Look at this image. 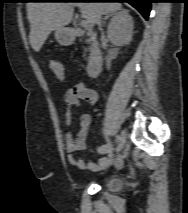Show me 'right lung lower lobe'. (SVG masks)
I'll return each mask as SVG.
<instances>
[{
    "label": "right lung lower lobe",
    "mask_w": 188,
    "mask_h": 213,
    "mask_svg": "<svg viewBox=\"0 0 188 213\" xmlns=\"http://www.w3.org/2000/svg\"><path fill=\"white\" fill-rule=\"evenodd\" d=\"M110 1L128 2L133 7H135L143 15L145 19H147L151 10V2L153 0H110Z\"/></svg>",
    "instance_id": "1"
}]
</instances>
